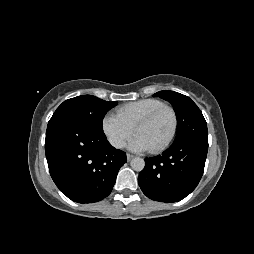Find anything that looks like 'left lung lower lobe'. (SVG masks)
<instances>
[{
    "mask_svg": "<svg viewBox=\"0 0 254 254\" xmlns=\"http://www.w3.org/2000/svg\"><path fill=\"white\" fill-rule=\"evenodd\" d=\"M208 151V135H193L174 141L162 153L145 159L138 183L150 199L165 203L188 196L198 185Z\"/></svg>",
    "mask_w": 254,
    "mask_h": 254,
    "instance_id": "obj_1",
    "label": "left lung lower lobe"
}]
</instances>
